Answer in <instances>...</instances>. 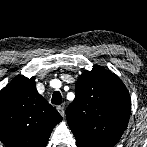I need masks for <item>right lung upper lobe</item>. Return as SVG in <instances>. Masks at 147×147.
I'll use <instances>...</instances> for the list:
<instances>
[{"instance_id":"1","label":"right lung upper lobe","mask_w":147,"mask_h":147,"mask_svg":"<svg viewBox=\"0 0 147 147\" xmlns=\"http://www.w3.org/2000/svg\"><path fill=\"white\" fill-rule=\"evenodd\" d=\"M60 114L20 76L0 92V141L6 147H45Z\"/></svg>"}]
</instances>
